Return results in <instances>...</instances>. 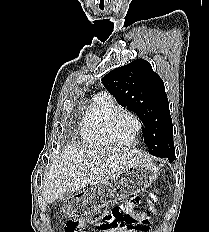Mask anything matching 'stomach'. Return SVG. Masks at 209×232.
<instances>
[{
  "label": "stomach",
  "instance_id": "obj_1",
  "mask_svg": "<svg viewBox=\"0 0 209 232\" xmlns=\"http://www.w3.org/2000/svg\"><path fill=\"white\" fill-rule=\"evenodd\" d=\"M159 171L160 167L153 162H142L126 171H119V176H112L110 182H101V186H91L84 194H72V198H66L62 213L69 214L76 221H87L88 214H95L109 203L128 199V195L146 189Z\"/></svg>",
  "mask_w": 209,
  "mask_h": 232
}]
</instances>
